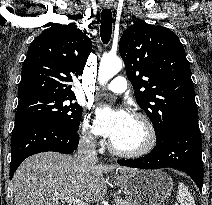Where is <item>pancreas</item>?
Wrapping results in <instances>:
<instances>
[{
  "label": "pancreas",
  "mask_w": 212,
  "mask_h": 205,
  "mask_svg": "<svg viewBox=\"0 0 212 205\" xmlns=\"http://www.w3.org/2000/svg\"><path fill=\"white\" fill-rule=\"evenodd\" d=\"M115 203H116V205H133L132 203H130V202L126 201V200H123L120 197H116L115 198Z\"/></svg>",
  "instance_id": "pancreas-1"
}]
</instances>
